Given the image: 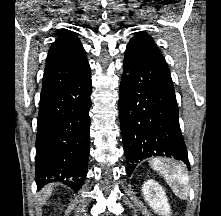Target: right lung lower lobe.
I'll list each match as a JSON object with an SVG mask.
<instances>
[{
    "instance_id": "obj_1",
    "label": "right lung lower lobe",
    "mask_w": 221,
    "mask_h": 216,
    "mask_svg": "<svg viewBox=\"0 0 221 216\" xmlns=\"http://www.w3.org/2000/svg\"><path fill=\"white\" fill-rule=\"evenodd\" d=\"M92 83L88 70L40 97L35 178L38 190L60 181L74 191L87 174Z\"/></svg>"
}]
</instances>
